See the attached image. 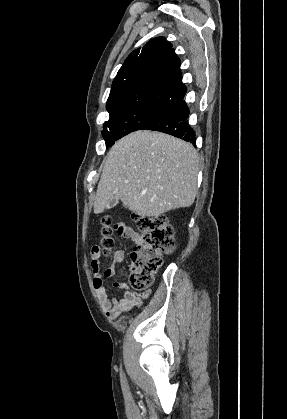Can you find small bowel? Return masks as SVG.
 Returning <instances> with one entry per match:
<instances>
[{
	"mask_svg": "<svg viewBox=\"0 0 287 419\" xmlns=\"http://www.w3.org/2000/svg\"><path fill=\"white\" fill-rule=\"evenodd\" d=\"M119 235L131 239L133 243H137L140 236L129 226L124 223H119L116 226ZM91 269L93 272L94 288L99 296V299L105 309L109 319L115 320L121 314L128 313L134 306H141L144 300L150 297L149 292L137 294L130 290L126 283L115 282L113 286L117 289L124 290L120 298H109L108 292L105 288V279L112 278L117 271V265L124 260V251L116 250L113 254V264L106 269H102L100 263V249L95 247L91 252Z\"/></svg>",
	"mask_w": 287,
	"mask_h": 419,
	"instance_id": "obj_1",
	"label": "small bowel"
}]
</instances>
